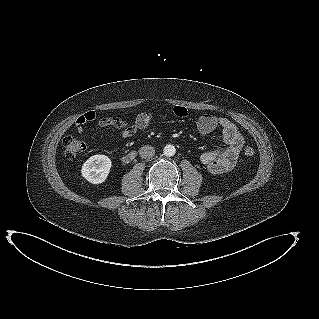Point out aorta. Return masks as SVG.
Returning a JSON list of instances; mask_svg holds the SVG:
<instances>
[{"instance_id":"762f6f07","label":"aorta","mask_w":319,"mask_h":319,"mask_svg":"<svg viewBox=\"0 0 319 319\" xmlns=\"http://www.w3.org/2000/svg\"><path fill=\"white\" fill-rule=\"evenodd\" d=\"M163 152L166 156L170 157L175 155L176 149L173 145H166Z\"/></svg>"}]
</instances>
